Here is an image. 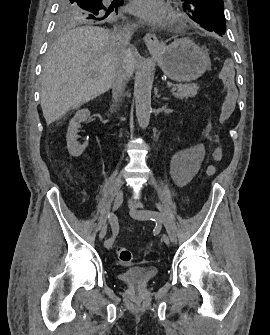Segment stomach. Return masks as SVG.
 Returning a JSON list of instances; mask_svg holds the SVG:
<instances>
[{"instance_id":"0dacf381","label":"stomach","mask_w":270,"mask_h":335,"mask_svg":"<svg viewBox=\"0 0 270 335\" xmlns=\"http://www.w3.org/2000/svg\"><path fill=\"white\" fill-rule=\"evenodd\" d=\"M148 50L156 58L162 72L175 82H192L206 70H211L207 52L190 38H179L169 46Z\"/></svg>"}]
</instances>
